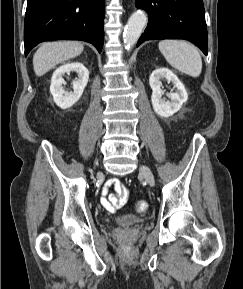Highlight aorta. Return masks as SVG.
<instances>
[{
    "mask_svg": "<svg viewBox=\"0 0 243 289\" xmlns=\"http://www.w3.org/2000/svg\"><path fill=\"white\" fill-rule=\"evenodd\" d=\"M147 21V15L142 11H136L130 16L123 33V40L128 50L138 41Z\"/></svg>",
    "mask_w": 243,
    "mask_h": 289,
    "instance_id": "1",
    "label": "aorta"
}]
</instances>
